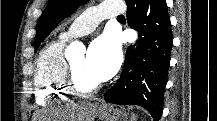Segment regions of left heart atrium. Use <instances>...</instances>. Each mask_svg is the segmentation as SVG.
Instances as JSON below:
<instances>
[{
    "label": "left heart atrium",
    "instance_id": "obj_1",
    "mask_svg": "<svg viewBox=\"0 0 217 121\" xmlns=\"http://www.w3.org/2000/svg\"><path fill=\"white\" fill-rule=\"evenodd\" d=\"M120 62V47L117 38L111 32H106L91 43L86 56V65L98 82L112 77Z\"/></svg>",
    "mask_w": 217,
    "mask_h": 121
}]
</instances>
